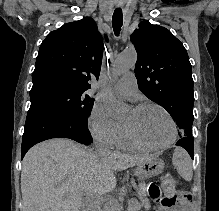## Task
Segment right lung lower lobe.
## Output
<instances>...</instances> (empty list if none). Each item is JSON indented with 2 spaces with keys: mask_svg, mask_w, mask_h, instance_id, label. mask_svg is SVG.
<instances>
[{
  "mask_svg": "<svg viewBox=\"0 0 219 211\" xmlns=\"http://www.w3.org/2000/svg\"><path fill=\"white\" fill-rule=\"evenodd\" d=\"M83 123L55 105L32 103L27 114L21 149V159L35 144L51 138H69L82 144L93 139Z\"/></svg>",
  "mask_w": 219,
  "mask_h": 211,
  "instance_id": "1",
  "label": "right lung lower lobe"
}]
</instances>
